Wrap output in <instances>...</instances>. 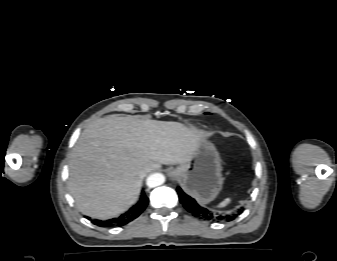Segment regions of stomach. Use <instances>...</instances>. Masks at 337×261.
Instances as JSON below:
<instances>
[{
    "label": "stomach",
    "mask_w": 337,
    "mask_h": 261,
    "mask_svg": "<svg viewBox=\"0 0 337 261\" xmlns=\"http://www.w3.org/2000/svg\"><path fill=\"white\" fill-rule=\"evenodd\" d=\"M170 175L187 193L203 203L214 200L223 185L220 155L206 136L191 160L172 170Z\"/></svg>",
    "instance_id": "obj_1"
}]
</instances>
